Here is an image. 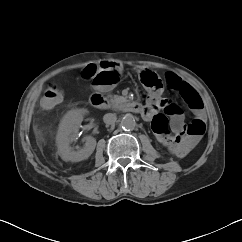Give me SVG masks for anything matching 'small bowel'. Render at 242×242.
Returning a JSON list of instances; mask_svg holds the SVG:
<instances>
[{
    "label": "small bowel",
    "mask_w": 242,
    "mask_h": 242,
    "mask_svg": "<svg viewBox=\"0 0 242 242\" xmlns=\"http://www.w3.org/2000/svg\"><path fill=\"white\" fill-rule=\"evenodd\" d=\"M101 66L107 69H113L119 73L122 71V66L110 61H104ZM144 73H154L147 69H139L140 78ZM174 77L179 80L180 83H185L177 74L169 73L168 77ZM98 90L109 91L112 89V85L100 87L96 86ZM148 106L144 107L143 118L151 120L156 114L155 108L161 105L164 110L162 114L168 121V127H170L172 134L162 139L163 143L173 149L178 155H187L199 142L202 134L196 133L195 123H200L202 127H206V117L203 111V105L199 109H193L195 117L190 124H185L184 114L182 109L175 103L164 102L159 97V92L153 93L147 98Z\"/></svg>",
    "instance_id": "small-bowel-1"
}]
</instances>
